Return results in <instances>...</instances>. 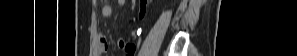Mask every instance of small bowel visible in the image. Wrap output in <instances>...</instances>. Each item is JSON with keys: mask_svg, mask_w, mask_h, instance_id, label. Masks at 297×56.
<instances>
[{"mask_svg": "<svg viewBox=\"0 0 297 56\" xmlns=\"http://www.w3.org/2000/svg\"><path fill=\"white\" fill-rule=\"evenodd\" d=\"M118 3L123 5L125 3V0H118ZM103 14L105 16H110L112 14V9L110 6H105L103 8ZM119 46L123 49H125L127 55L132 56L134 51V46L132 44H127L125 41L120 40ZM108 49V43L104 36H100L97 44V53L98 55L105 54Z\"/></svg>", "mask_w": 297, "mask_h": 56, "instance_id": "small-bowel-1", "label": "small bowel"}]
</instances>
